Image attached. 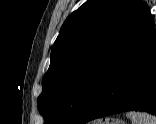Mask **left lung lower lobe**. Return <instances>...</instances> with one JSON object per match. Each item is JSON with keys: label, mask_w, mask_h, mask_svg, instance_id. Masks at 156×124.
<instances>
[{"label": "left lung lower lobe", "mask_w": 156, "mask_h": 124, "mask_svg": "<svg viewBox=\"0 0 156 124\" xmlns=\"http://www.w3.org/2000/svg\"><path fill=\"white\" fill-rule=\"evenodd\" d=\"M131 110L156 116L154 22L115 63L78 124Z\"/></svg>", "instance_id": "left-lung-lower-lobe-1"}]
</instances>
